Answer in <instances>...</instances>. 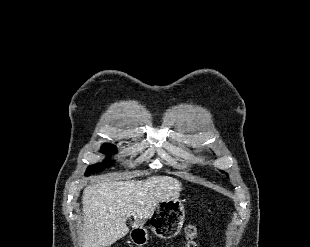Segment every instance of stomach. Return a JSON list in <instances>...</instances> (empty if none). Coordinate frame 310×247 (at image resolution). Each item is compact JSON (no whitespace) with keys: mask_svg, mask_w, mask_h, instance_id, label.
I'll use <instances>...</instances> for the list:
<instances>
[{"mask_svg":"<svg viewBox=\"0 0 310 247\" xmlns=\"http://www.w3.org/2000/svg\"><path fill=\"white\" fill-rule=\"evenodd\" d=\"M184 219L185 210L182 201L178 198H169L155 207L149 218V228L157 237L169 239L180 232ZM129 236L137 247H143L149 240L148 230L144 224L133 227Z\"/></svg>","mask_w":310,"mask_h":247,"instance_id":"stomach-1","label":"stomach"}]
</instances>
